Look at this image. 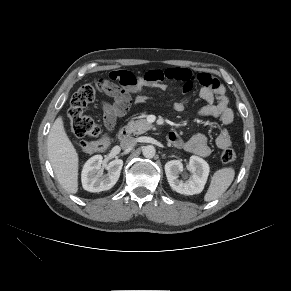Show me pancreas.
Masks as SVG:
<instances>
[{
  "mask_svg": "<svg viewBox=\"0 0 291 291\" xmlns=\"http://www.w3.org/2000/svg\"><path fill=\"white\" fill-rule=\"evenodd\" d=\"M152 125L148 123L145 119L131 120L128 122L126 128L133 134L139 135L146 131L152 129Z\"/></svg>",
  "mask_w": 291,
  "mask_h": 291,
  "instance_id": "cf45deb5",
  "label": "pancreas"
}]
</instances>
